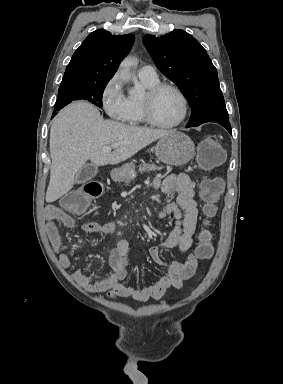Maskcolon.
<instances>
[{
  "label": "colon",
  "instance_id": "obj_1",
  "mask_svg": "<svg viewBox=\"0 0 283 384\" xmlns=\"http://www.w3.org/2000/svg\"><path fill=\"white\" fill-rule=\"evenodd\" d=\"M224 159V152L216 135L206 136L199 144L198 161L202 168L212 169L218 166ZM225 185L221 178L204 179L199 188V193L204 202L203 212L207 219L214 217L216 213V202L223 194ZM103 191L100 182H88L79 189L69 193L61 200V207L75 214L85 212L91 203L97 199ZM200 259H209L213 254L211 234L203 230L199 237L196 250Z\"/></svg>",
  "mask_w": 283,
  "mask_h": 384
}]
</instances>
